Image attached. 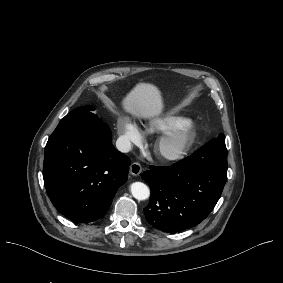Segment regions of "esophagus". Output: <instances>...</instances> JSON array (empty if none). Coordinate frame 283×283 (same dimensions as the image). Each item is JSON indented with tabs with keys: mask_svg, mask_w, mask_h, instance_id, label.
Instances as JSON below:
<instances>
[{
	"mask_svg": "<svg viewBox=\"0 0 283 283\" xmlns=\"http://www.w3.org/2000/svg\"><path fill=\"white\" fill-rule=\"evenodd\" d=\"M129 170L132 175L138 176L142 172V166L135 162L130 165Z\"/></svg>",
	"mask_w": 283,
	"mask_h": 283,
	"instance_id": "34e87169",
	"label": "esophagus"
}]
</instances>
